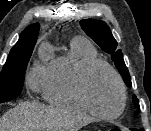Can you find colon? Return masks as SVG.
<instances>
[{
  "instance_id": "obj_1",
  "label": "colon",
  "mask_w": 151,
  "mask_h": 131,
  "mask_svg": "<svg viewBox=\"0 0 151 131\" xmlns=\"http://www.w3.org/2000/svg\"><path fill=\"white\" fill-rule=\"evenodd\" d=\"M109 131H125V130H123V129H121V128H112V129H110Z\"/></svg>"
}]
</instances>
